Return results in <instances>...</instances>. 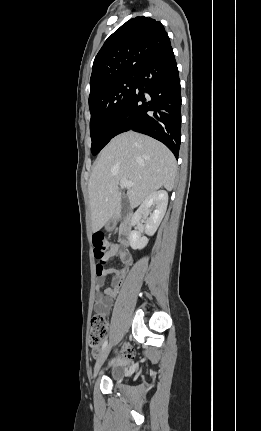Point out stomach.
I'll return each instance as SVG.
<instances>
[{
	"instance_id": "stomach-1",
	"label": "stomach",
	"mask_w": 261,
	"mask_h": 431,
	"mask_svg": "<svg viewBox=\"0 0 261 431\" xmlns=\"http://www.w3.org/2000/svg\"><path fill=\"white\" fill-rule=\"evenodd\" d=\"M106 228H107L108 230H110V229H111V227H110V225H109V224H107Z\"/></svg>"
}]
</instances>
